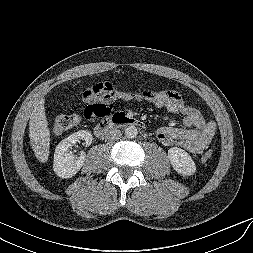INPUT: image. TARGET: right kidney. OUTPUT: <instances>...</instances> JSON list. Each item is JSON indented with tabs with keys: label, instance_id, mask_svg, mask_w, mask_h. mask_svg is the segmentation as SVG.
Masks as SVG:
<instances>
[{
	"label": "right kidney",
	"instance_id": "1",
	"mask_svg": "<svg viewBox=\"0 0 253 253\" xmlns=\"http://www.w3.org/2000/svg\"><path fill=\"white\" fill-rule=\"evenodd\" d=\"M79 140H84L86 146H89L92 143V134L87 130H80L63 139L57 145L53 164V169L57 176L70 178L83 166L86 154L81 152L80 156L77 157L73 152H69V148Z\"/></svg>",
	"mask_w": 253,
	"mask_h": 253
}]
</instances>
